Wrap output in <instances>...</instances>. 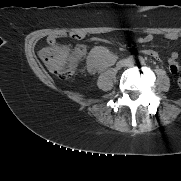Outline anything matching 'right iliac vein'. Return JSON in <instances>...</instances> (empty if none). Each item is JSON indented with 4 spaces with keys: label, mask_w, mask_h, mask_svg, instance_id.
Masks as SVG:
<instances>
[{
    "label": "right iliac vein",
    "mask_w": 181,
    "mask_h": 181,
    "mask_svg": "<svg viewBox=\"0 0 181 181\" xmlns=\"http://www.w3.org/2000/svg\"><path fill=\"white\" fill-rule=\"evenodd\" d=\"M125 65V61H120L117 66L120 68V67H123Z\"/></svg>",
    "instance_id": "right-iliac-vein-1"
}]
</instances>
